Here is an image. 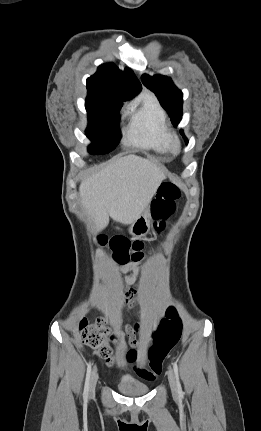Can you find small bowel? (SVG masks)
Returning <instances> with one entry per match:
<instances>
[{
	"label": "small bowel",
	"instance_id": "c3829d8e",
	"mask_svg": "<svg viewBox=\"0 0 261 431\" xmlns=\"http://www.w3.org/2000/svg\"><path fill=\"white\" fill-rule=\"evenodd\" d=\"M137 273V270H134V274L129 276L127 278V281L129 283H133L135 280V274ZM125 296L126 298L123 300V303L128 306V310H133V307L135 306V303H139V295L138 292L135 289H132L131 291H125ZM143 312H138L137 316L138 317H143ZM123 316H128V313H123ZM135 323H138V320H135ZM131 327H135V324H131V326H126V331H128L127 336L130 338V342L132 345H137L138 341L136 340L135 336L136 333L138 332V329H135V332L133 330H131ZM141 374V372H140Z\"/></svg>",
	"mask_w": 261,
	"mask_h": 431
}]
</instances>
